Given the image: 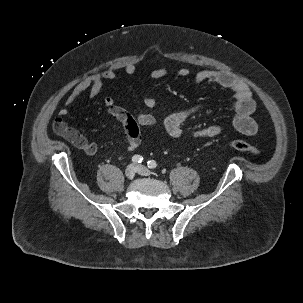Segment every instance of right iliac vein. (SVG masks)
<instances>
[{
  "label": "right iliac vein",
  "instance_id": "obj_1",
  "mask_svg": "<svg viewBox=\"0 0 303 303\" xmlns=\"http://www.w3.org/2000/svg\"><path fill=\"white\" fill-rule=\"evenodd\" d=\"M136 167L133 164H130L125 169V176L129 179H132L135 176Z\"/></svg>",
  "mask_w": 303,
  "mask_h": 303
}]
</instances>
